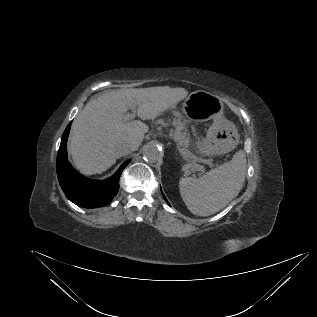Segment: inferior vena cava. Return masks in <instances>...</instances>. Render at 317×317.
<instances>
[{"label":"inferior vena cava","instance_id":"obj_1","mask_svg":"<svg viewBox=\"0 0 317 317\" xmlns=\"http://www.w3.org/2000/svg\"><path fill=\"white\" fill-rule=\"evenodd\" d=\"M137 148H138L137 143L124 142L118 146L117 153L120 156H125V155L135 151Z\"/></svg>","mask_w":317,"mask_h":317}]
</instances>
